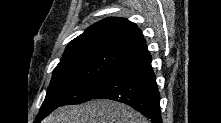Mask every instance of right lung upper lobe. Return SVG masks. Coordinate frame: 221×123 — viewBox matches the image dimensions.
Returning <instances> with one entry per match:
<instances>
[{
  "label": "right lung upper lobe",
  "instance_id": "right-lung-upper-lobe-1",
  "mask_svg": "<svg viewBox=\"0 0 221 123\" xmlns=\"http://www.w3.org/2000/svg\"><path fill=\"white\" fill-rule=\"evenodd\" d=\"M87 49L111 50L128 57L148 51L141 30L129 20L117 17L90 26L68 44L63 56Z\"/></svg>",
  "mask_w": 221,
  "mask_h": 123
}]
</instances>
